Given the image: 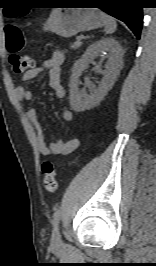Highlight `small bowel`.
<instances>
[{"label": "small bowel", "instance_id": "1", "mask_svg": "<svg viewBox=\"0 0 156 266\" xmlns=\"http://www.w3.org/2000/svg\"><path fill=\"white\" fill-rule=\"evenodd\" d=\"M63 53L55 51L49 58H47L41 66L35 67L26 71L23 75V80L28 81L34 79L42 72H48L50 77V87L54 91L55 95L63 99L65 97V89L62 82V70L61 65L63 63ZM15 95L20 102H29L33 99V93L27 86H18L15 90ZM27 116L33 124L37 133V148L39 152L44 156L51 155H69L75 151L79 146L78 139H71L66 142L56 141L47 143L43 129L40 125L37 111L35 108H29ZM62 118L65 121H71L73 113L68 107L62 109Z\"/></svg>", "mask_w": 156, "mask_h": 266}]
</instances>
